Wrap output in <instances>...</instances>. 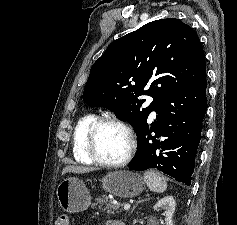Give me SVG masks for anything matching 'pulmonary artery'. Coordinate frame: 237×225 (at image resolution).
<instances>
[{
  "instance_id": "1",
  "label": "pulmonary artery",
  "mask_w": 237,
  "mask_h": 225,
  "mask_svg": "<svg viewBox=\"0 0 237 225\" xmlns=\"http://www.w3.org/2000/svg\"><path fill=\"white\" fill-rule=\"evenodd\" d=\"M150 101H151V98H148V99H147V102L149 103ZM153 116H154V114H153Z\"/></svg>"
}]
</instances>
